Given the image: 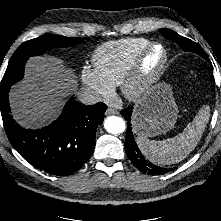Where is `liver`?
Listing matches in <instances>:
<instances>
[{
    "label": "liver",
    "mask_w": 221,
    "mask_h": 221,
    "mask_svg": "<svg viewBox=\"0 0 221 221\" xmlns=\"http://www.w3.org/2000/svg\"><path fill=\"white\" fill-rule=\"evenodd\" d=\"M75 90V79L58 58L33 57L25 79L9 96L14 118L24 127H39L56 117L64 98Z\"/></svg>",
    "instance_id": "1"
}]
</instances>
